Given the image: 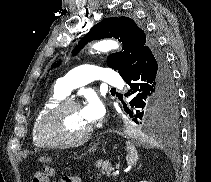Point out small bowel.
Instances as JSON below:
<instances>
[{"mask_svg":"<svg viewBox=\"0 0 211 182\" xmlns=\"http://www.w3.org/2000/svg\"><path fill=\"white\" fill-rule=\"evenodd\" d=\"M48 182V181H46ZM62 182H81V179L76 176L66 177L62 180Z\"/></svg>","mask_w":211,"mask_h":182,"instance_id":"obj_1","label":"small bowel"}]
</instances>
